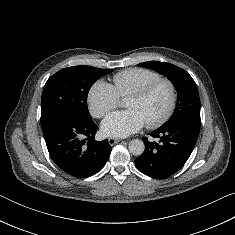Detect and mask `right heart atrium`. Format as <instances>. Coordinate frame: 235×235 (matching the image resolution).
Masks as SVG:
<instances>
[{
    "label": "right heart atrium",
    "mask_w": 235,
    "mask_h": 235,
    "mask_svg": "<svg viewBox=\"0 0 235 235\" xmlns=\"http://www.w3.org/2000/svg\"><path fill=\"white\" fill-rule=\"evenodd\" d=\"M119 97L113 87L99 80L95 82L87 96L90 113L96 118H102L118 105Z\"/></svg>",
    "instance_id": "obj_1"
}]
</instances>
